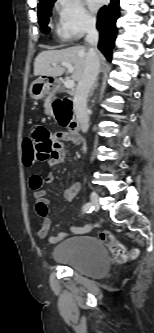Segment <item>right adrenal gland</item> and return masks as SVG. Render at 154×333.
Instances as JSON below:
<instances>
[{"mask_svg": "<svg viewBox=\"0 0 154 333\" xmlns=\"http://www.w3.org/2000/svg\"><path fill=\"white\" fill-rule=\"evenodd\" d=\"M97 85H98V79H96V82H95V84L93 85V87L91 89L90 96L93 95V92H94L95 88L97 87Z\"/></svg>", "mask_w": 154, "mask_h": 333, "instance_id": "right-adrenal-gland-1", "label": "right adrenal gland"}]
</instances>
